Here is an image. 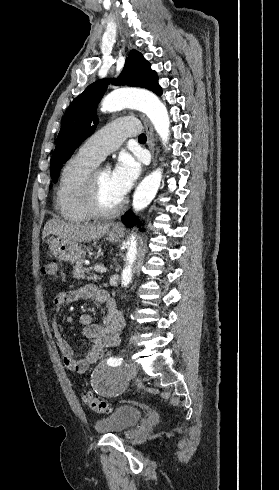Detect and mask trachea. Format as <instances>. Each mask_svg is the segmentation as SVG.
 Segmentation results:
<instances>
[{"mask_svg":"<svg viewBox=\"0 0 279 490\" xmlns=\"http://www.w3.org/2000/svg\"><path fill=\"white\" fill-rule=\"evenodd\" d=\"M138 141L140 143H145L146 142V135H144V133H142L141 135H139Z\"/></svg>","mask_w":279,"mask_h":490,"instance_id":"obj_1","label":"trachea"}]
</instances>
